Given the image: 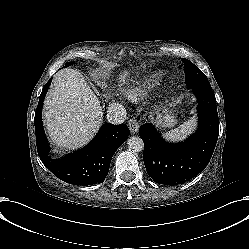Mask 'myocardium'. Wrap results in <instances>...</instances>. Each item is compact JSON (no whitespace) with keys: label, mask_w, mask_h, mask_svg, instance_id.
I'll return each instance as SVG.
<instances>
[{"label":"myocardium","mask_w":249,"mask_h":249,"mask_svg":"<svg viewBox=\"0 0 249 249\" xmlns=\"http://www.w3.org/2000/svg\"><path fill=\"white\" fill-rule=\"evenodd\" d=\"M155 108H156V109H159V108H160V105H159V104L155 105Z\"/></svg>","instance_id":"obj_1"}]
</instances>
